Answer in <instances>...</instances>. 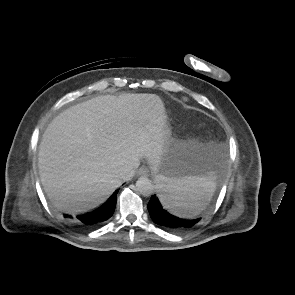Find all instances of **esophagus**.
I'll use <instances>...</instances> for the list:
<instances>
[{
  "mask_svg": "<svg viewBox=\"0 0 295 295\" xmlns=\"http://www.w3.org/2000/svg\"><path fill=\"white\" fill-rule=\"evenodd\" d=\"M138 176H148L149 175V170L146 167H141L138 172Z\"/></svg>",
  "mask_w": 295,
  "mask_h": 295,
  "instance_id": "1",
  "label": "esophagus"
}]
</instances>
